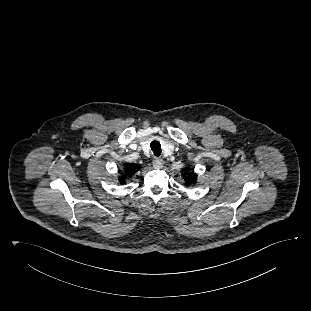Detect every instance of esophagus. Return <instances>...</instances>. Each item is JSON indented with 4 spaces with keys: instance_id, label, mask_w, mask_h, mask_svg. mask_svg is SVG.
<instances>
[{
    "instance_id": "esophagus-1",
    "label": "esophagus",
    "mask_w": 311,
    "mask_h": 311,
    "mask_svg": "<svg viewBox=\"0 0 311 311\" xmlns=\"http://www.w3.org/2000/svg\"><path fill=\"white\" fill-rule=\"evenodd\" d=\"M153 165H154V167L162 168L164 165V161H163V159L156 157L153 160Z\"/></svg>"
}]
</instances>
